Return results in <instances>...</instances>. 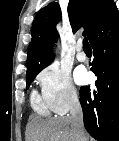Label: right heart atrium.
Segmentation results:
<instances>
[{
    "label": "right heart atrium",
    "instance_id": "1",
    "mask_svg": "<svg viewBox=\"0 0 119 141\" xmlns=\"http://www.w3.org/2000/svg\"><path fill=\"white\" fill-rule=\"evenodd\" d=\"M42 98L56 113H65L79 101V93L70 73L58 63L43 69L37 76Z\"/></svg>",
    "mask_w": 119,
    "mask_h": 141
}]
</instances>
